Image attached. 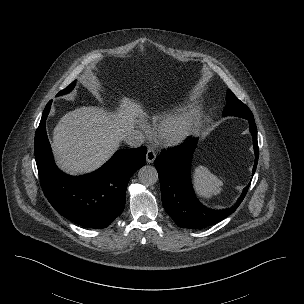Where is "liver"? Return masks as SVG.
<instances>
[{"label": "liver", "mask_w": 304, "mask_h": 304, "mask_svg": "<svg viewBox=\"0 0 304 304\" xmlns=\"http://www.w3.org/2000/svg\"><path fill=\"white\" fill-rule=\"evenodd\" d=\"M143 117L140 105L128 97L119 100L115 112L83 106L66 113L53 132L57 165L71 175L97 169Z\"/></svg>", "instance_id": "6515ba94"}]
</instances>
